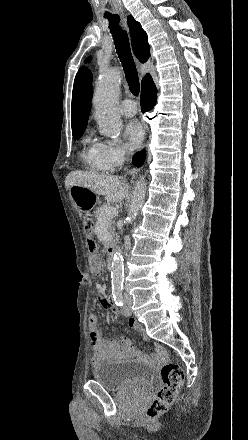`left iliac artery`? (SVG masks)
I'll list each match as a JSON object with an SVG mask.
<instances>
[{
    "label": "left iliac artery",
    "instance_id": "left-iliac-artery-1",
    "mask_svg": "<svg viewBox=\"0 0 248 440\" xmlns=\"http://www.w3.org/2000/svg\"><path fill=\"white\" fill-rule=\"evenodd\" d=\"M112 295L113 299L117 306L123 305V299H122V287H115L112 289Z\"/></svg>",
    "mask_w": 248,
    "mask_h": 440
}]
</instances>
